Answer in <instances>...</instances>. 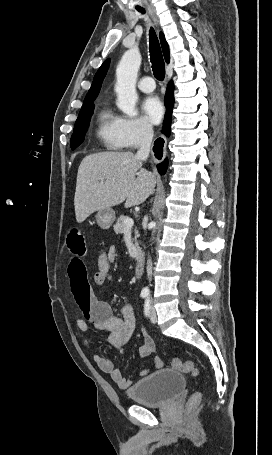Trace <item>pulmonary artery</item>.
I'll use <instances>...</instances> for the list:
<instances>
[{"label":"pulmonary artery","instance_id":"obj_1","mask_svg":"<svg viewBox=\"0 0 272 455\" xmlns=\"http://www.w3.org/2000/svg\"><path fill=\"white\" fill-rule=\"evenodd\" d=\"M138 88L146 93L152 92L155 89V82L152 77L145 76L139 80Z\"/></svg>","mask_w":272,"mask_h":455}]
</instances>
